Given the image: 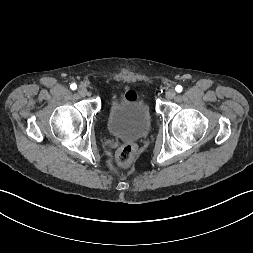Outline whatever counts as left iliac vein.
I'll use <instances>...</instances> for the list:
<instances>
[{
	"label": "left iliac vein",
	"instance_id": "obj_1",
	"mask_svg": "<svg viewBox=\"0 0 253 253\" xmlns=\"http://www.w3.org/2000/svg\"><path fill=\"white\" fill-rule=\"evenodd\" d=\"M176 95V92L174 89H169L167 92H166V98L167 99H173Z\"/></svg>",
	"mask_w": 253,
	"mask_h": 253
}]
</instances>
